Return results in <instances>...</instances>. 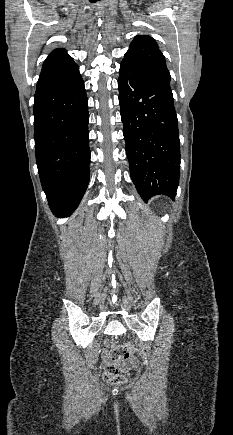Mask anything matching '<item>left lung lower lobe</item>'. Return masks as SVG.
<instances>
[{"mask_svg":"<svg viewBox=\"0 0 233 435\" xmlns=\"http://www.w3.org/2000/svg\"><path fill=\"white\" fill-rule=\"evenodd\" d=\"M119 104L130 176L141 198H174L179 183L180 141L171 88L120 65Z\"/></svg>","mask_w":233,"mask_h":435,"instance_id":"0a47b994","label":"left lung lower lobe"}]
</instances>
